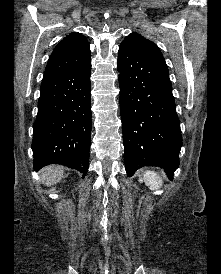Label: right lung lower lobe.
Instances as JSON below:
<instances>
[{
    "mask_svg": "<svg viewBox=\"0 0 221 274\" xmlns=\"http://www.w3.org/2000/svg\"><path fill=\"white\" fill-rule=\"evenodd\" d=\"M91 61L41 84L33 165L61 164L86 175L91 138Z\"/></svg>",
    "mask_w": 221,
    "mask_h": 274,
    "instance_id": "obj_1",
    "label": "right lung lower lobe"
}]
</instances>
